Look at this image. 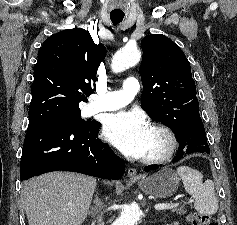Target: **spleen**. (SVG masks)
Listing matches in <instances>:
<instances>
[{"mask_svg":"<svg viewBox=\"0 0 237 225\" xmlns=\"http://www.w3.org/2000/svg\"><path fill=\"white\" fill-rule=\"evenodd\" d=\"M177 174L182 179L186 192L193 197L194 208L200 214L212 215L218 211V200L212 181L203 183L202 173L188 166L178 167Z\"/></svg>","mask_w":237,"mask_h":225,"instance_id":"obj_1","label":"spleen"}]
</instances>
